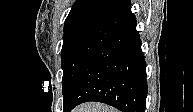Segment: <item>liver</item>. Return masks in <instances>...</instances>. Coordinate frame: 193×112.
<instances>
[{
  "mask_svg": "<svg viewBox=\"0 0 193 112\" xmlns=\"http://www.w3.org/2000/svg\"><path fill=\"white\" fill-rule=\"evenodd\" d=\"M73 112H118L116 109L103 105L101 103H84L76 107Z\"/></svg>",
  "mask_w": 193,
  "mask_h": 112,
  "instance_id": "6515ba94",
  "label": "liver"
}]
</instances>
